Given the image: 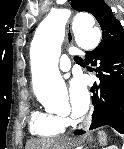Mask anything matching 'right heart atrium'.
Masks as SVG:
<instances>
[{"label": "right heart atrium", "mask_w": 124, "mask_h": 149, "mask_svg": "<svg viewBox=\"0 0 124 149\" xmlns=\"http://www.w3.org/2000/svg\"><path fill=\"white\" fill-rule=\"evenodd\" d=\"M61 119L65 123V125L69 122V120L67 118H61Z\"/></svg>", "instance_id": "obj_1"}]
</instances>
